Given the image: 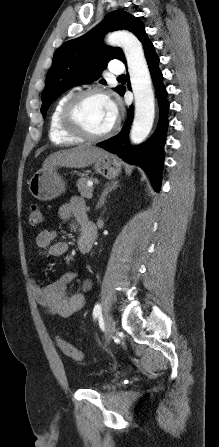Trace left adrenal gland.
<instances>
[{"instance_id":"obj_1","label":"left adrenal gland","mask_w":219,"mask_h":447,"mask_svg":"<svg viewBox=\"0 0 219 447\" xmlns=\"http://www.w3.org/2000/svg\"><path fill=\"white\" fill-rule=\"evenodd\" d=\"M118 186H119V181H111V183H107L105 185V188L103 189V192H102V194H101V196L99 198V201H98V203L96 205V209H99V208H101L104 205V203L106 201L107 195L112 190H115Z\"/></svg>"}]
</instances>
